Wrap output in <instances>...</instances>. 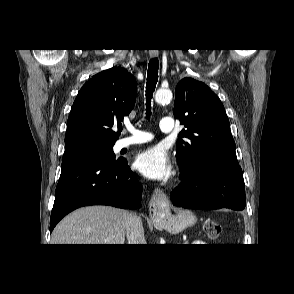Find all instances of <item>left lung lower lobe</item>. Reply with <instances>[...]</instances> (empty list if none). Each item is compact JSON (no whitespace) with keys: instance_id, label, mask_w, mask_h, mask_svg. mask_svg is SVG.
<instances>
[{"instance_id":"left-lung-lower-lobe-1","label":"left lung lower lobe","mask_w":294,"mask_h":294,"mask_svg":"<svg viewBox=\"0 0 294 294\" xmlns=\"http://www.w3.org/2000/svg\"><path fill=\"white\" fill-rule=\"evenodd\" d=\"M181 170V183L171 193L174 205L187 209L243 210L245 186L239 165L215 163L198 171Z\"/></svg>"}]
</instances>
